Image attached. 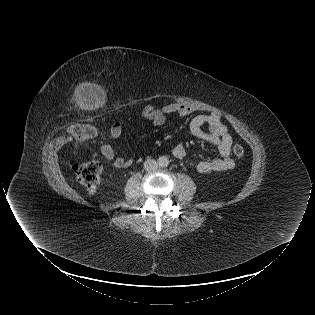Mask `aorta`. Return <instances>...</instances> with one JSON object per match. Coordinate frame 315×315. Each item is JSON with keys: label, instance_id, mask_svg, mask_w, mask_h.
<instances>
[{"label": "aorta", "instance_id": "obj_1", "mask_svg": "<svg viewBox=\"0 0 315 315\" xmlns=\"http://www.w3.org/2000/svg\"><path fill=\"white\" fill-rule=\"evenodd\" d=\"M159 164H160L162 167H166V166H168L169 161H168L167 158L161 157V158L159 159Z\"/></svg>", "mask_w": 315, "mask_h": 315}]
</instances>
